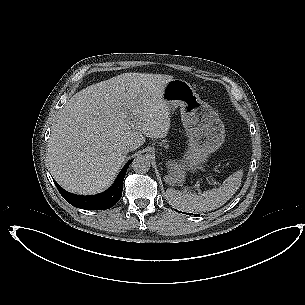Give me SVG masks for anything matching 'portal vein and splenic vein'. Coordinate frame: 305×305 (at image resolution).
Masks as SVG:
<instances>
[{"label":"portal vein and splenic vein","mask_w":305,"mask_h":305,"mask_svg":"<svg viewBox=\"0 0 305 305\" xmlns=\"http://www.w3.org/2000/svg\"><path fill=\"white\" fill-rule=\"evenodd\" d=\"M211 181H212L211 182L212 185H216V182H214V180L212 178H211ZM195 190L198 191L199 193L201 192V189L198 184L195 185Z\"/></svg>","instance_id":"obj_1"}]
</instances>
